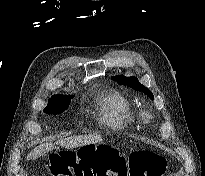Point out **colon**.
Segmentation results:
<instances>
[{"mask_svg": "<svg viewBox=\"0 0 205 176\" xmlns=\"http://www.w3.org/2000/svg\"><path fill=\"white\" fill-rule=\"evenodd\" d=\"M49 161L53 176H162L166 171L164 158L151 150L135 151L124 161L112 151L97 147L78 153H52Z\"/></svg>", "mask_w": 205, "mask_h": 176, "instance_id": "1", "label": "colon"}]
</instances>
